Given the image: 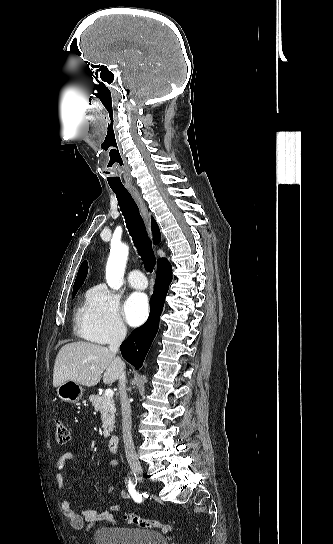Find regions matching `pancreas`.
<instances>
[{"label": "pancreas", "instance_id": "pancreas-1", "mask_svg": "<svg viewBox=\"0 0 333 544\" xmlns=\"http://www.w3.org/2000/svg\"><path fill=\"white\" fill-rule=\"evenodd\" d=\"M89 400L92 402V406L95 410L101 413L103 435L109 436L113 428L116 414L114 400L105 395L98 396L94 394L89 397Z\"/></svg>", "mask_w": 333, "mask_h": 544}]
</instances>
